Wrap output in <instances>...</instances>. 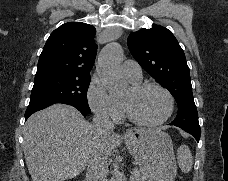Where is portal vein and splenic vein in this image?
I'll use <instances>...</instances> for the list:
<instances>
[{"mask_svg":"<svg viewBox=\"0 0 228 181\" xmlns=\"http://www.w3.org/2000/svg\"><path fill=\"white\" fill-rule=\"evenodd\" d=\"M128 172H129L130 174H131V173L134 174L136 171H135L134 169H133V170L130 169Z\"/></svg>","mask_w":228,"mask_h":181,"instance_id":"18ae733b","label":"portal vein and splenic vein"}]
</instances>
